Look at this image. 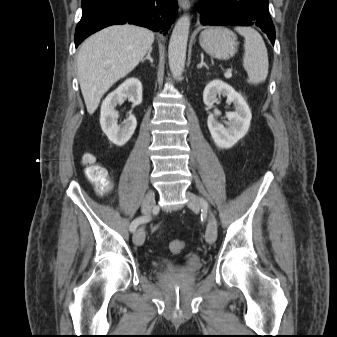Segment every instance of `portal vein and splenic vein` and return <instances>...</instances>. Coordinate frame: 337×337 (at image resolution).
<instances>
[{
  "instance_id": "1",
  "label": "portal vein and splenic vein",
  "mask_w": 337,
  "mask_h": 337,
  "mask_svg": "<svg viewBox=\"0 0 337 337\" xmlns=\"http://www.w3.org/2000/svg\"><path fill=\"white\" fill-rule=\"evenodd\" d=\"M232 76V73L230 72V71H227L226 73H225V77L226 78H230Z\"/></svg>"
}]
</instances>
